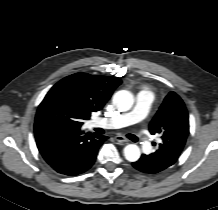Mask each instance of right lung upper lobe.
I'll return each instance as SVG.
<instances>
[{"instance_id":"1","label":"right lung upper lobe","mask_w":218,"mask_h":210,"mask_svg":"<svg viewBox=\"0 0 218 210\" xmlns=\"http://www.w3.org/2000/svg\"><path fill=\"white\" fill-rule=\"evenodd\" d=\"M120 84L117 77L76 73L63 78L52 89L66 95L90 117L92 112L103 108Z\"/></svg>"}]
</instances>
